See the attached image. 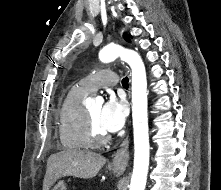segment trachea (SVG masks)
Listing matches in <instances>:
<instances>
[{
    "label": "trachea",
    "mask_w": 221,
    "mask_h": 190,
    "mask_svg": "<svg viewBox=\"0 0 221 190\" xmlns=\"http://www.w3.org/2000/svg\"><path fill=\"white\" fill-rule=\"evenodd\" d=\"M128 83H129L128 77L123 78V80H122L123 87L128 88V86H129Z\"/></svg>",
    "instance_id": "trachea-1"
}]
</instances>
